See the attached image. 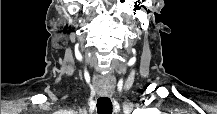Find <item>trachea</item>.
<instances>
[{
  "instance_id": "obj_1",
  "label": "trachea",
  "mask_w": 217,
  "mask_h": 114,
  "mask_svg": "<svg viewBox=\"0 0 217 114\" xmlns=\"http://www.w3.org/2000/svg\"><path fill=\"white\" fill-rule=\"evenodd\" d=\"M97 112L98 114H112V102L109 98L97 99Z\"/></svg>"
}]
</instances>
